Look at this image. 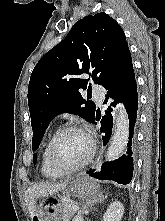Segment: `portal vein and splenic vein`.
<instances>
[{
    "mask_svg": "<svg viewBox=\"0 0 165 221\" xmlns=\"http://www.w3.org/2000/svg\"><path fill=\"white\" fill-rule=\"evenodd\" d=\"M72 208H73V210L77 211V210L79 209V206L76 205V204H74V205L72 206Z\"/></svg>",
    "mask_w": 165,
    "mask_h": 221,
    "instance_id": "18ae733b",
    "label": "portal vein and splenic vein"
}]
</instances>
